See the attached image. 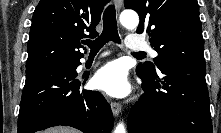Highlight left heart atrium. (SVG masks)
Wrapping results in <instances>:
<instances>
[{"instance_id": "1", "label": "left heart atrium", "mask_w": 221, "mask_h": 133, "mask_svg": "<svg viewBox=\"0 0 221 133\" xmlns=\"http://www.w3.org/2000/svg\"><path fill=\"white\" fill-rule=\"evenodd\" d=\"M94 86L110 96L122 97L130 91L128 72L120 61H112L101 67L93 79Z\"/></svg>"}]
</instances>
